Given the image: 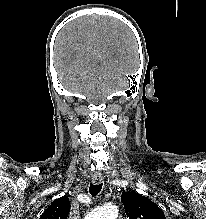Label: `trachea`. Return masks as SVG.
Returning a JSON list of instances; mask_svg holds the SVG:
<instances>
[{
	"mask_svg": "<svg viewBox=\"0 0 206 219\" xmlns=\"http://www.w3.org/2000/svg\"><path fill=\"white\" fill-rule=\"evenodd\" d=\"M101 189H102V183H100V184H91L90 187H89L90 195L92 197H95L96 195H98L100 193Z\"/></svg>",
	"mask_w": 206,
	"mask_h": 219,
	"instance_id": "1",
	"label": "trachea"
}]
</instances>
